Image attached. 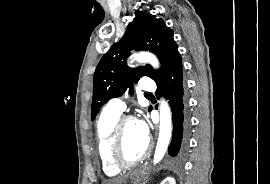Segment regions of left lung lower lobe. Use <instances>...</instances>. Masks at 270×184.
<instances>
[{"label":"left lung lower lobe","mask_w":270,"mask_h":184,"mask_svg":"<svg viewBox=\"0 0 270 184\" xmlns=\"http://www.w3.org/2000/svg\"><path fill=\"white\" fill-rule=\"evenodd\" d=\"M156 95L163 94L169 100L172 111L173 134L168 153L175 163H179L188 148L190 117L188 101L183 82L181 55L177 52L167 69L156 81Z\"/></svg>","instance_id":"1"}]
</instances>
